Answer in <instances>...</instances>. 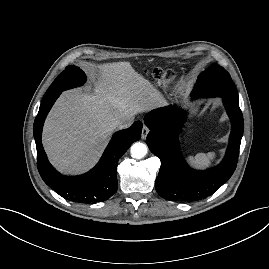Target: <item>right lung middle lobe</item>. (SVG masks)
Returning a JSON list of instances; mask_svg holds the SVG:
<instances>
[{
    "mask_svg": "<svg viewBox=\"0 0 269 269\" xmlns=\"http://www.w3.org/2000/svg\"><path fill=\"white\" fill-rule=\"evenodd\" d=\"M86 80L85 73L74 65H69L66 69L54 80L43 99L50 97L64 90L74 88L83 84Z\"/></svg>",
    "mask_w": 269,
    "mask_h": 269,
    "instance_id": "dd1d6c3e",
    "label": "right lung middle lobe"
}]
</instances>
